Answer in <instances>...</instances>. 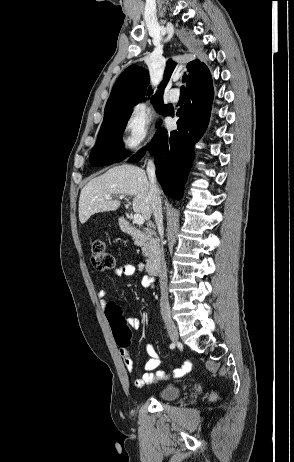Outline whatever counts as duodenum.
Instances as JSON below:
<instances>
[{
  "mask_svg": "<svg viewBox=\"0 0 294 462\" xmlns=\"http://www.w3.org/2000/svg\"><path fill=\"white\" fill-rule=\"evenodd\" d=\"M119 224L123 232L149 247L150 250L147 261V271L150 275H157L161 269L164 249L157 240L155 229L153 227H149L145 230H140L139 228L131 225L123 216L119 218Z\"/></svg>",
  "mask_w": 294,
  "mask_h": 462,
  "instance_id": "1",
  "label": "duodenum"
}]
</instances>
